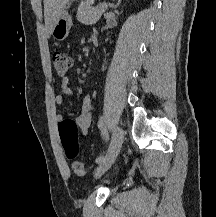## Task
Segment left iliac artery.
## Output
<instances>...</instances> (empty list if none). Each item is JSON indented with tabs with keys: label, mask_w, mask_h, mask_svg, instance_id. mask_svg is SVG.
Segmentation results:
<instances>
[{
	"label": "left iliac artery",
	"mask_w": 216,
	"mask_h": 217,
	"mask_svg": "<svg viewBox=\"0 0 216 217\" xmlns=\"http://www.w3.org/2000/svg\"><path fill=\"white\" fill-rule=\"evenodd\" d=\"M98 126H99V129L101 130V133H102L104 139L106 140V142H108L109 136H108V132H107V130H106V127H105V125H104V117H103V116H101V117L99 118ZM105 157H106V156H105L104 153L101 154L99 157H97L96 163H98V164L101 163V162L105 159Z\"/></svg>",
	"instance_id": "left-iliac-artery-1"
}]
</instances>
